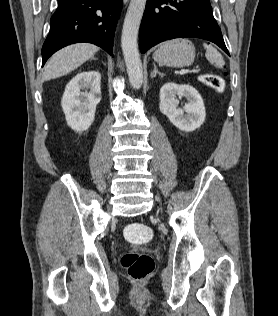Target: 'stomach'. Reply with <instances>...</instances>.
I'll return each instance as SVG.
<instances>
[{"label":"stomach","mask_w":278,"mask_h":316,"mask_svg":"<svg viewBox=\"0 0 278 316\" xmlns=\"http://www.w3.org/2000/svg\"><path fill=\"white\" fill-rule=\"evenodd\" d=\"M160 65L185 67L194 62L195 48L187 39H175L163 43L153 54Z\"/></svg>","instance_id":"0dacf381"}]
</instances>
